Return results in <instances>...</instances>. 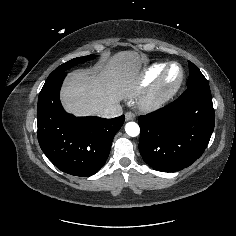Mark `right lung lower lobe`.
<instances>
[{
    "label": "right lung lower lobe",
    "mask_w": 236,
    "mask_h": 236,
    "mask_svg": "<svg viewBox=\"0 0 236 236\" xmlns=\"http://www.w3.org/2000/svg\"><path fill=\"white\" fill-rule=\"evenodd\" d=\"M65 77L63 72L47 79L39 94L38 141L47 158L61 171L87 177L105 164L125 117L104 119L66 113L59 99Z\"/></svg>",
    "instance_id": "98d812e1"
}]
</instances>
